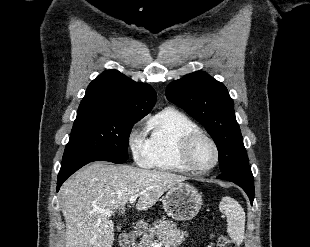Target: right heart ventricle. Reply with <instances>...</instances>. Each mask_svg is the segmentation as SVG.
<instances>
[{"instance_id":"e07e8e85","label":"right heart ventricle","mask_w":310,"mask_h":247,"mask_svg":"<svg viewBox=\"0 0 310 247\" xmlns=\"http://www.w3.org/2000/svg\"><path fill=\"white\" fill-rule=\"evenodd\" d=\"M201 131L200 127L186 114L168 107L147 123L146 145L151 160V168L187 172L180 157V149L185 136Z\"/></svg>"}]
</instances>
